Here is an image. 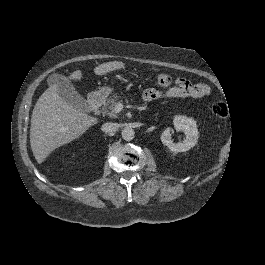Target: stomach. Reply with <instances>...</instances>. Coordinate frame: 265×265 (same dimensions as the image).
Here are the masks:
<instances>
[{
    "instance_id": "1",
    "label": "stomach",
    "mask_w": 265,
    "mask_h": 265,
    "mask_svg": "<svg viewBox=\"0 0 265 265\" xmlns=\"http://www.w3.org/2000/svg\"><path fill=\"white\" fill-rule=\"evenodd\" d=\"M114 91V88L109 86L100 87L95 93L97 95L107 97L110 93Z\"/></svg>"
}]
</instances>
